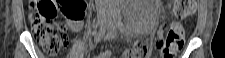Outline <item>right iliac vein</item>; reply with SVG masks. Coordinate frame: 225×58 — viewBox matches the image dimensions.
I'll use <instances>...</instances> for the list:
<instances>
[{"mask_svg":"<svg viewBox=\"0 0 225 58\" xmlns=\"http://www.w3.org/2000/svg\"><path fill=\"white\" fill-rule=\"evenodd\" d=\"M104 24H105L104 20H99L98 26H99L100 29L104 26Z\"/></svg>","mask_w":225,"mask_h":58,"instance_id":"right-iliac-vein-1","label":"right iliac vein"}]
</instances>
